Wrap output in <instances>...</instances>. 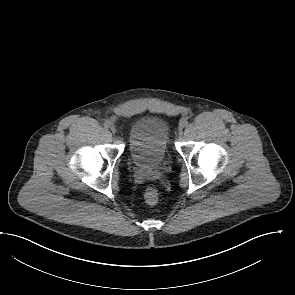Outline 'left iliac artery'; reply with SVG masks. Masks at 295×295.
Wrapping results in <instances>:
<instances>
[{
    "instance_id": "left-iliac-artery-1",
    "label": "left iliac artery",
    "mask_w": 295,
    "mask_h": 295,
    "mask_svg": "<svg viewBox=\"0 0 295 295\" xmlns=\"http://www.w3.org/2000/svg\"><path fill=\"white\" fill-rule=\"evenodd\" d=\"M181 124H182L184 127H187V125H188V121L184 120V121L181 122Z\"/></svg>"
}]
</instances>
